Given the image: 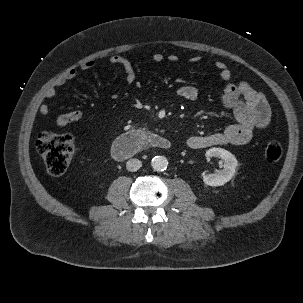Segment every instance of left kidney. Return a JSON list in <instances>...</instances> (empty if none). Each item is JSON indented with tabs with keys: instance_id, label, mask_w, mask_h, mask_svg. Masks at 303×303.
I'll list each match as a JSON object with an SVG mask.
<instances>
[{
	"instance_id": "obj_1",
	"label": "left kidney",
	"mask_w": 303,
	"mask_h": 303,
	"mask_svg": "<svg viewBox=\"0 0 303 303\" xmlns=\"http://www.w3.org/2000/svg\"><path fill=\"white\" fill-rule=\"evenodd\" d=\"M205 156L207 159L219 157L224 161V168L222 170L203 176V181L206 185L222 186L232 179L238 165L237 159L232 153L222 148H211L206 151Z\"/></svg>"
}]
</instances>
